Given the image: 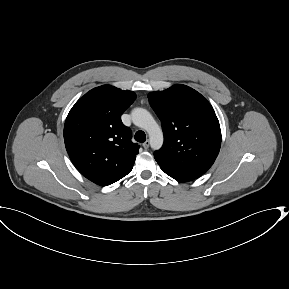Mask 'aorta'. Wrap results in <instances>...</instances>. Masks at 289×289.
Listing matches in <instances>:
<instances>
[{
    "instance_id": "762f6f07",
    "label": "aorta",
    "mask_w": 289,
    "mask_h": 289,
    "mask_svg": "<svg viewBox=\"0 0 289 289\" xmlns=\"http://www.w3.org/2000/svg\"><path fill=\"white\" fill-rule=\"evenodd\" d=\"M131 116L133 124L146 130L149 134L151 148L160 149L164 140L163 132L150 112L143 108H135Z\"/></svg>"
}]
</instances>
